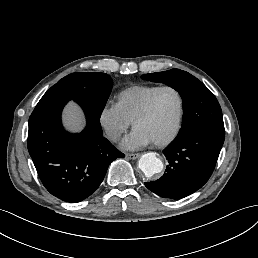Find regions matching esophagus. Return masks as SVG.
<instances>
[{"mask_svg":"<svg viewBox=\"0 0 258 258\" xmlns=\"http://www.w3.org/2000/svg\"><path fill=\"white\" fill-rule=\"evenodd\" d=\"M141 156V154L140 153H136V154H127L126 155V158H128V159H136V158H138V157H140Z\"/></svg>","mask_w":258,"mask_h":258,"instance_id":"esophagus-1","label":"esophagus"}]
</instances>
